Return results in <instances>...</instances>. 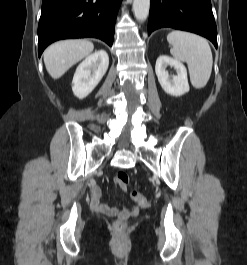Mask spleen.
<instances>
[{"mask_svg":"<svg viewBox=\"0 0 247 265\" xmlns=\"http://www.w3.org/2000/svg\"><path fill=\"white\" fill-rule=\"evenodd\" d=\"M172 56L188 65L190 81L196 89L208 83L213 65L211 48L206 39L193 33L175 30L168 34Z\"/></svg>","mask_w":247,"mask_h":265,"instance_id":"3e777b00","label":"spleen"}]
</instances>
